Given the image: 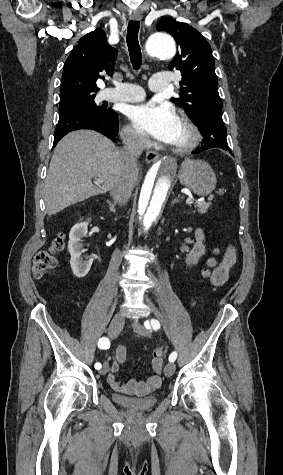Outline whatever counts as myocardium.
I'll use <instances>...</instances> for the list:
<instances>
[{
	"mask_svg": "<svg viewBox=\"0 0 283 475\" xmlns=\"http://www.w3.org/2000/svg\"><path fill=\"white\" fill-rule=\"evenodd\" d=\"M185 132V140L178 146L171 145V150L178 155H187L192 152L198 145L201 139V132L199 127L184 113L180 112L179 117Z\"/></svg>",
	"mask_w": 283,
	"mask_h": 475,
	"instance_id": "obj_1",
	"label": "myocardium"
}]
</instances>
